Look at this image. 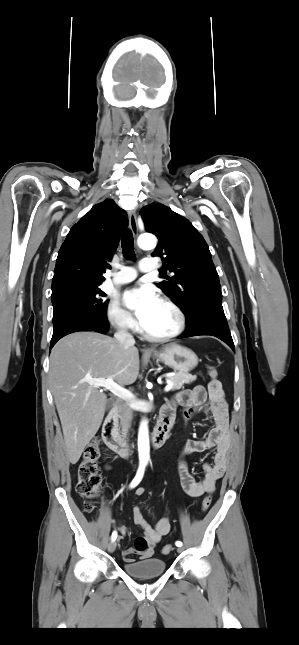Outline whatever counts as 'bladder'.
<instances>
[{"instance_id":"obj_1","label":"bladder","mask_w":299,"mask_h":645,"mask_svg":"<svg viewBox=\"0 0 299 645\" xmlns=\"http://www.w3.org/2000/svg\"><path fill=\"white\" fill-rule=\"evenodd\" d=\"M166 562L161 558H148L141 561L125 563L123 571L134 578L157 577L165 573Z\"/></svg>"}]
</instances>
